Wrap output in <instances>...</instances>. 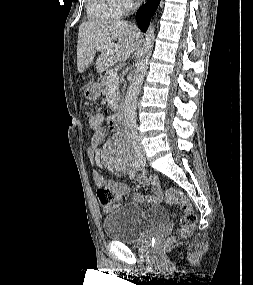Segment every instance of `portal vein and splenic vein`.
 <instances>
[{"mask_svg":"<svg viewBox=\"0 0 253 285\" xmlns=\"http://www.w3.org/2000/svg\"><path fill=\"white\" fill-rule=\"evenodd\" d=\"M107 47H108L107 45H102V46H99L97 49H98V50H102V49L107 48ZM118 83H119V76H118V74L116 73V74H114V75L112 76V78L109 80V84H110V86H116Z\"/></svg>","mask_w":253,"mask_h":285,"instance_id":"portal-vein-and-splenic-vein-1","label":"portal vein and splenic vein"}]
</instances>
